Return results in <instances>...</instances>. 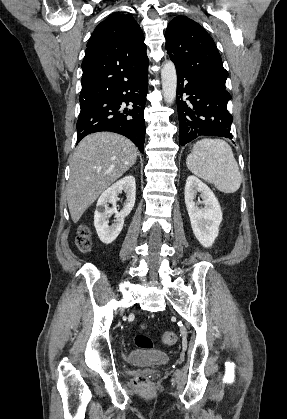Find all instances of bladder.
Listing matches in <instances>:
<instances>
[{
	"mask_svg": "<svg viewBox=\"0 0 287 419\" xmlns=\"http://www.w3.org/2000/svg\"><path fill=\"white\" fill-rule=\"evenodd\" d=\"M128 361L138 366H157L169 362V356L159 351L148 349H133L129 352Z\"/></svg>",
	"mask_w": 287,
	"mask_h": 419,
	"instance_id": "1",
	"label": "bladder"
}]
</instances>
